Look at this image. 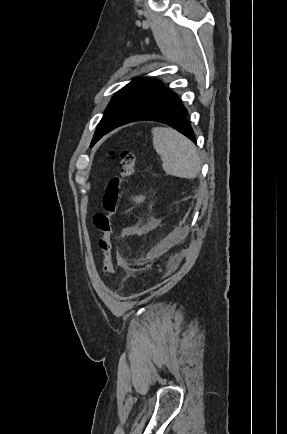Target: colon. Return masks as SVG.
Wrapping results in <instances>:
<instances>
[{
  "mask_svg": "<svg viewBox=\"0 0 287 434\" xmlns=\"http://www.w3.org/2000/svg\"><path fill=\"white\" fill-rule=\"evenodd\" d=\"M135 171V156L130 151H123L120 155L119 174L112 177L103 195V211L94 216V224L100 232L98 245L103 253V273L113 272V219L119 211V204L123 194V184Z\"/></svg>",
  "mask_w": 287,
  "mask_h": 434,
  "instance_id": "colon-1",
  "label": "colon"
}]
</instances>
